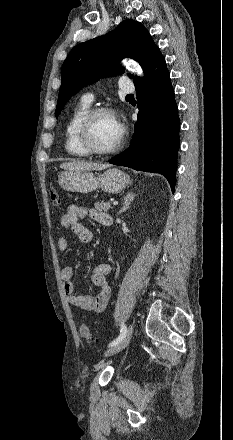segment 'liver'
<instances>
[{"instance_id":"6515ba94","label":"liver","mask_w":233,"mask_h":440,"mask_svg":"<svg viewBox=\"0 0 233 440\" xmlns=\"http://www.w3.org/2000/svg\"><path fill=\"white\" fill-rule=\"evenodd\" d=\"M109 167V164L93 163L86 161H73L68 163H62L60 168L67 171H90V170H103Z\"/></svg>"}]
</instances>
